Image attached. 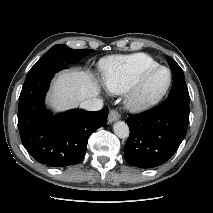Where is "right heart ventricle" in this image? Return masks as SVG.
<instances>
[{
    "mask_svg": "<svg viewBox=\"0 0 213 213\" xmlns=\"http://www.w3.org/2000/svg\"><path fill=\"white\" fill-rule=\"evenodd\" d=\"M158 65L154 58L143 53L108 58L102 62L104 86L111 93L123 94Z\"/></svg>",
    "mask_w": 213,
    "mask_h": 213,
    "instance_id": "1",
    "label": "right heart ventricle"
}]
</instances>
